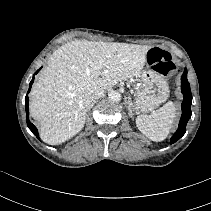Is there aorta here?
<instances>
[{
	"instance_id": "aorta-1",
	"label": "aorta",
	"mask_w": 211,
	"mask_h": 211,
	"mask_svg": "<svg viewBox=\"0 0 211 211\" xmlns=\"http://www.w3.org/2000/svg\"><path fill=\"white\" fill-rule=\"evenodd\" d=\"M108 97H109L110 100L115 101V102L121 100V94L117 91L109 92Z\"/></svg>"
}]
</instances>
